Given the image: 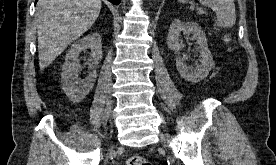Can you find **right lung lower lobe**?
<instances>
[{"label":"right lung lower lobe","instance_id":"right-lung-lower-lobe-1","mask_svg":"<svg viewBox=\"0 0 276 165\" xmlns=\"http://www.w3.org/2000/svg\"><path fill=\"white\" fill-rule=\"evenodd\" d=\"M37 1L38 0H36L35 2H37ZM108 1H110L111 3H113L115 5H118L121 2V0H108Z\"/></svg>","mask_w":276,"mask_h":165}]
</instances>
